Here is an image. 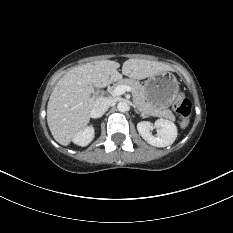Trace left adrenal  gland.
Instances as JSON below:
<instances>
[{
  "label": "left adrenal gland",
  "mask_w": 233,
  "mask_h": 233,
  "mask_svg": "<svg viewBox=\"0 0 233 233\" xmlns=\"http://www.w3.org/2000/svg\"><path fill=\"white\" fill-rule=\"evenodd\" d=\"M136 113L141 114L139 111L135 110Z\"/></svg>",
  "instance_id": "obj_1"
}]
</instances>
